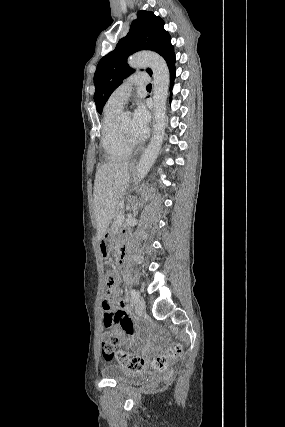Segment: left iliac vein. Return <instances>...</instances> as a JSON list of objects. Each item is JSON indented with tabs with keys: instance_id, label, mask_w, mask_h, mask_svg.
I'll return each instance as SVG.
<instances>
[{
	"instance_id": "1",
	"label": "left iliac vein",
	"mask_w": 285,
	"mask_h": 427,
	"mask_svg": "<svg viewBox=\"0 0 285 427\" xmlns=\"http://www.w3.org/2000/svg\"><path fill=\"white\" fill-rule=\"evenodd\" d=\"M145 300L142 296H137L135 299V311L138 315H141L145 312Z\"/></svg>"
}]
</instances>
